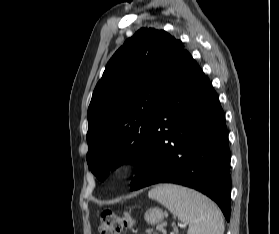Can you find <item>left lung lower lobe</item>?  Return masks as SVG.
<instances>
[{
	"label": "left lung lower lobe",
	"mask_w": 279,
	"mask_h": 234,
	"mask_svg": "<svg viewBox=\"0 0 279 234\" xmlns=\"http://www.w3.org/2000/svg\"><path fill=\"white\" fill-rule=\"evenodd\" d=\"M155 183L194 188L230 220V150L225 115L210 80L183 50L154 113L149 146L130 190Z\"/></svg>",
	"instance_id": "0a47b994"
}]
</instances>
